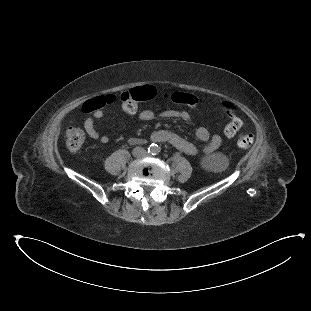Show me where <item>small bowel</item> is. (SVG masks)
<instances>
[{
  "label": "small bowel",
  "instance_id": "obj_1",
  "mask_svg": "<svg viewBox=\"0 0 311 311\" xmlns=\"http://www.w3.org/2000/svg\"><path fill=\"white\" fill-rule=\"evenodd\" d=\"M103 116L102 111L94 113L93 117L87 118L84 123V129L87 135L93 139H100L103 144L108 143L109 138L106 135L100 136L95 127V120L100 119ZM156 113L152 109H144L139 113V119L141 121H151L155 118ZM165 118H177L184 121H190L191 116L186 110H166L161 113ZM196 137L206 144L199 148L193 143L189 142L180 135L171 131H157L150 135L149 139L152 142H166L179 149L180 151L192 155H209L213 153L221 144V138L219 135H210V132L206 127H198L196 130Z\"/></svg>",
  "mask_w": 311,
  "mask_h": 311
}]
</instances>
